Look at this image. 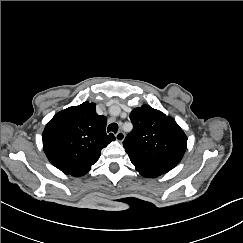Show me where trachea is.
Wrapping results in <instances>:
<instances>
[{
  "label": "trachea",
  "instance_id": "obj_1",
  "mask_svg": "<svg viewBox=\"0 0 243 243\" xmlns=\"http://www.w3.org/2000/svg\"><path fill=\"white\" fill-rule=\"evenodd\" d=\"M107 131L116 133L118 131V125L116 123H111L108 126Z\"/></svg>",
  "mask_w": 243,
  "mask_h": 243
}]
</instances>
